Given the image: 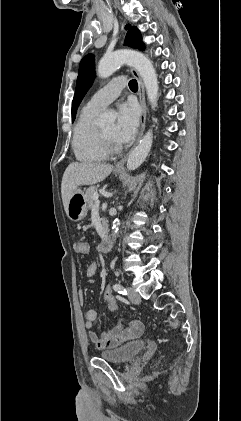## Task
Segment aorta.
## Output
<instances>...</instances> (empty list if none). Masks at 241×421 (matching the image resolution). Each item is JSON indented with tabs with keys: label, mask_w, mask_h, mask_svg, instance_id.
<instances>
[{
	"label": "aorta",
	"mask_w": 241,
	"mask_h": 421,
	"mask_svg": "<svg viewBox=\"0 0 241 421\" xmlns=\"http://www.w3.org/2000/svg\"><path fill=\"white\" fill-rule=\"evenodd\" d=\"M123 64H129L138 71L145 85L149 102L154 106L158 97L157 74L152 62L143 53L134 50L115 51L100 60L97 74L100 78L109 77ZM114 121L115 116L113 114L105 113L99 118L98 123L105 126ZM152 139V130H149L129 154L127 159L128 170H135L144 162L151 149ZM119 225L120 221L116 218L112 226L113 239L116 238Z\"/></svg>",
	"instance_id": "aorta-1"
}]
</instances>
